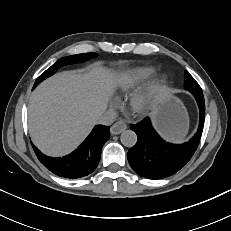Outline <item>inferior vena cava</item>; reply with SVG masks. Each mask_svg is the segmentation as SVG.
Listing matches in <instances>:
<instances>
[{
  "mask_svg": "<svg viewBox=\"0 0 231 231\" xmlns=\"http://www.w3.org/2000/svg\"><path fill=\"white\" fill-rule=\"evenodd\" d=\"M116 119V113L113 110H108L98 117V123L102 125H111Z\"/></svg>",
  "mask_w": 231,
  "mask_h": 231,
  "instance_id": "inferior-vena-cava-1",
  "label": "inferior vena cava"
}]
</instances>
